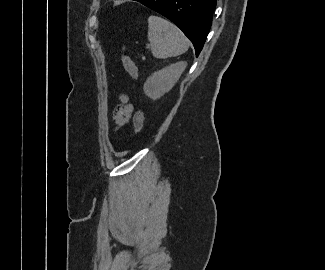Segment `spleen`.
Returning a JSON list of instances; mask_svg holds the SVG:
<instances>
[{
	"label": "spleen",
	"mask_w": 325,
	"mask_h": 270,
	"mask_svg": "<svg viewBox=\"0 0 325 270\" xmlns=\"http://www.w3.org/2000/svg\"><path fill=\"white\" fill-rule=\"evenodd\" d=\"M148 40L153 56L160 59L179 56L189 47L188 39L176 25L154 15L148 18Z\"/></svg>",
	"instance_id": "3e777b00"
}]
</instances>
